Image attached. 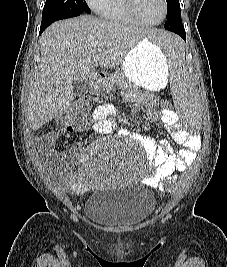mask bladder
Wrapping results in <instances>:
<instances>
[{"label":"bladder","mask_w":227,"mask_h":267,"mask_svg":"<svg viewBox=\"0 0 227 267\" xmlns=\"http://www.w3.org/2000/svg\"><path fill=\"white\" fill-rule=\"evenodd\" d=\"M155 205V198L149 190L132 184L118 188H94L84 209L87 218L96 225L125 228L138 226L148 220Z\"/></svg>","instance_id":"bladder-1"}]
</instances>
